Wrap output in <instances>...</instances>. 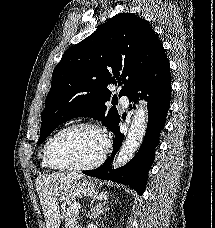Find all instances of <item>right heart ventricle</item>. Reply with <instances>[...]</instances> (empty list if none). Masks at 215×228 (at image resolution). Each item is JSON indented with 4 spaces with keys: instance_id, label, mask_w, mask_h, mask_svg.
<instances>
[{
    "instance_id": "obj_1",
    "label": "right heart ventricle",
    "mask_w": 215,
    "mask_h": 228,
    "mask_svg": "<svg viewBox=\"0 0 215 228\" xmlns=\"http://www.w3.org/2000/svg\"><path fill=\"white\" fill-rule=\"evenodd\" d=\"M46 145V144H45ZM45 145L44 147L42 148V152H41V166L42 168L45 170V171H51L52 169L50 167L47 166V164L45 163V160H44V148H45Z\"/></svg>"
}]
</instances>
